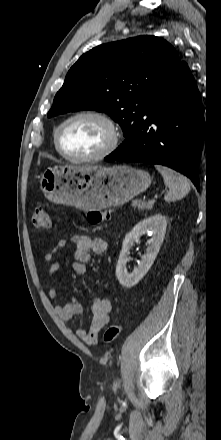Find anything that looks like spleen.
Segmentation results:
<instances>
[{
    "mask_svg": "<svg viewBox=\"0 0 221 440\" xmlns=\"http://www.w3.org/2000/svg\"><path fill=\"white\" fill-rule=\"evenodd\" d=\"M155 168L161 173L164 184L169 189L164 197L165 201H176L189 193L191 186L186 177L165 166L155 165Z\"/></svg>",
    "mask_w": 221,
    "mask_h": 440,
    "instance_id": "spleen-1",
    "label": "spleen"
}]
</instances>
